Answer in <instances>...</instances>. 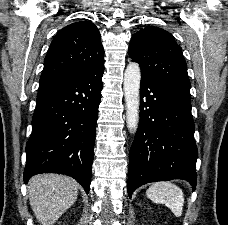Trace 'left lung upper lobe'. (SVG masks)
Returning a JSON list of instances; mask_svg holds the SVG:
<instances>
[{
    "mask_svg": "<svg viewBox=\"0 0 228 225\" xmlns=\"http://www.w3.org/2000/svg\"><path fill=\"white\" fill-rule=\"evenodd\" d=\"M128 53L139 63L143 78L190 92L182 49L169 32L155 26L142 27L132 36Z\"/></svg>",
    "mask_w": 228,
    "mask_h": 225,
    "instance_id": "obj_1",
    "label": "left lung upper lobe"
}]
</instances>
